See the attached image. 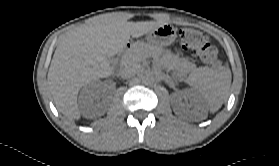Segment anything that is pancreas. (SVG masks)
I'll use <instances>...</instances> for the list:
<instances>
[{"label":"pancreas","mask_w":279,"mask_h":166,"mask_svg":"<svg viewBox=\"0 0 279 166\" xmlns=\"http://www.w3.org/2000/svg\"><path fill=\"white\" fill-rule=\"evenodd\" d=\"M163 50L160 47L144 42L134 43L132 49L127 52L121 60L122 66L125 68L137 69L140 67V63L148 56H154L158 53H162ZM165 64L168 70L177 69H191L193 65L188 63L186 60L179 58L177 55L167 51L164 53ZM168 64V65H167Z\"/></svg>","instance_id":"1"}]
</instances>
